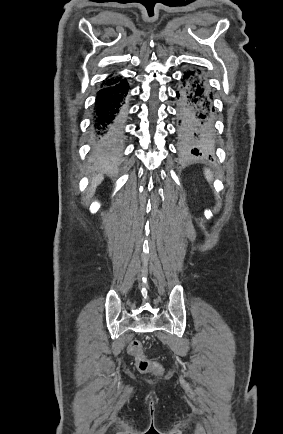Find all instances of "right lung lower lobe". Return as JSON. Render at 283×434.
<instances>
[{
	"label": "right lung lower lobe",
	"instance_id": "obj_1",
	"mask_svg": "<svg viewBox=\"0 0 283 434\" xmlns=\"http://www.w3.org/2000/svg\"><path fill=\"white\" fill-rule=\"evenodd\" d=\"M128 89L126 79H122L98 92L93 130L96 154L99 159L111 160L115 156L114 151L120 138L118 126L124 117V103Z\"/></svg>",
	"mask_w": 283,
	"mask_h": 434
}]
</instances>
